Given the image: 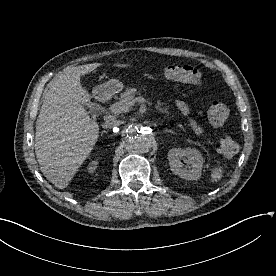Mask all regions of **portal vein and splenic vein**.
Listing matches in <instances>:
<instances>
[{
    "label": "portal vein and splenic vein",
    "instance_id": "obj_1",
    "mask_svg": "<svg viewBox=\"0 0 276 276\" xmlns=\"http://www.w3.org/2000/svg\"><path fill=\"white\" fill-rule=\"evenodd\" d=\"M135 102L141 103L143 105L147 103V101L143 97H137L131 101L116 102L109 108V110L112 111L113 113L127 112L128 109L135 104Z\"/></svg>",
    "mask_w": 276,
    "mask_h": 276
}]
</instances>
